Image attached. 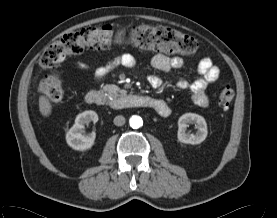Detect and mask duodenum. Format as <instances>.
Listing matches in <instances>:
<instances>
[{
    "label": "duodenum",
    "mask_w": 277,
    "mask_h": 218,
    "mask_svg": "<svg viewBox=\"0 0 277 218\" xmlns=\"http://www.w3.org/2000/svg\"><path fill=\"white\" fill-rule=\"evenodd\" d=\"M85 100L88 104L96 105V106H106L111 107L114 110H122L127 108H150L156 110L162 106V101L150 97L148 95L141 94H127L119 97L114 101H109L106 95L98 90H90L86 93ZM170 113V109L168 113L161 116H167Z\"/></svg>",
    "instance_id": "1"
}]
</instances>
